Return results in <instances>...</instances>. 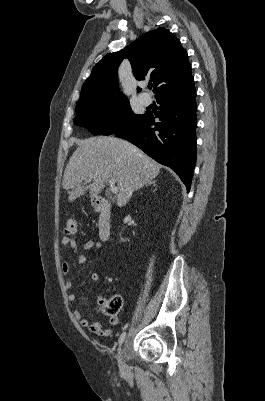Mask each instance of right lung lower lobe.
Segmentation results:
<instances>
[{"label": "right lung lower lobe", "mask_w": 265, "mask_h": 401, "mask_svg": "<svg viewBox=\"0 0 265 401\" xmlns=\"http://www.w3.org/2000/svg\"><path fill=\"white\" fill-rule=\"evenodd\" d=\"M195 98L193 82L182 90L162 93L156 97L160 104L158 113L147 112L140 121L115 134L135 144L160 164L172 168L187 192L196 161Z\"/></svg>", "instance_id": "1"}]
</instances>
